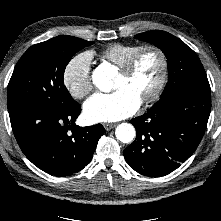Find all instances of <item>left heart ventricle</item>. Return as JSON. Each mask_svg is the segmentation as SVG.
<instances>
[{
    "label": "left heart ventricle",
    "mask_w": 221,
    "mask_h": 221,
    "mask_svg": "<svg viewBox=\"0 0 221 221\" xmlns=\"http://www.w3.org/2000/svg\"><path fill=\"white\" fill-rule=\"evenodd\" d=\"M159 75V57L156 53L148 51L139 58L130 75L125 76L119 72L114 88H126L141 101L154 88Z\"/></svg>",
    "instance_id": "obj_1"
}]
</instances>
